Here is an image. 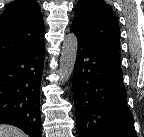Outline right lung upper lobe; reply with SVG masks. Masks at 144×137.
<instances>
[{
  "mask_svg": "<svg viewBox=\"0 0 144 137\" xmlns=\"http://www.w3.org/2000/svg\"><path fill=\"white\" fill-rule=\"evenodd\" d=\"M44 39V22L35 0H15L0 15V62Z\"/></svg>",
  "mask_w": 144,
  "mask_h": 137,
  "instance_id": "cb5924a9",
  "label": "right lung upper lobe"
}]
</instances>
